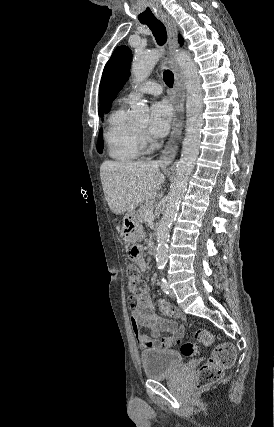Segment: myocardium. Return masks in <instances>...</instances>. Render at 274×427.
I'll return each mask as SVG.
<instances>
[{
  "mask_svg": "<svg viewBox=\"0 0 274 427\" xmlns=\"http://www.w3.org/2000/svg\"><path fill=\"white\" fill-rule=\"evenodd\" d=\"M135 135L138 148L140 152H151L156 148L154 141L148 136L146 132L135 126Z\"/></svg>",
  "mask_w": 274,
  "mask_h": 427,
  "instance_id": "1",
  "label": "myocardium"
}]
</instances>
